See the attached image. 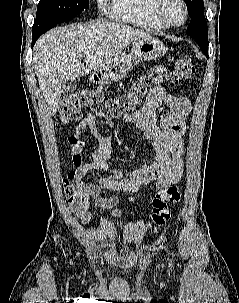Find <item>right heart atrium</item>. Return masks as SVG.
<instances>
[{
  "label": "right heart atrium",
  "instance_id": "right-heart-atrium-1",
  "mask_svg": "<svg viewBox=\"0 0 239 303\" xmlns=\"http://www.w3.org/2000/svg\"><path fill=\"white\" fill-rule=\"evenodd\" d=\"M109 0H97V5L101 10H106Z\"/></svg>",
  "mask_w": 239,
  "mask_h": 303
}]
</instances>
